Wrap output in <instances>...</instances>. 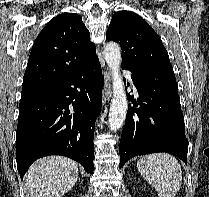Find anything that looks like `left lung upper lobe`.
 Returning <instances> with one entry per match:
<instances>
[{
	"mask_svg": "<svg viewBox=\"0 0 209 197\" xmlns=\"http://www.w3.org/2000/svg\"><path fill=\"white\" fill-rule=\"evenodd\" d=\"M106 40L120 43L122 65L152 80H175L168 53L156 32L131 11L116 12Z\"/></svg>",
	"mask_w": 209,
	"mask_h": 197,
	"instance_id": "1",
	"label": "left lung upper lobe"
}]
</instances>
